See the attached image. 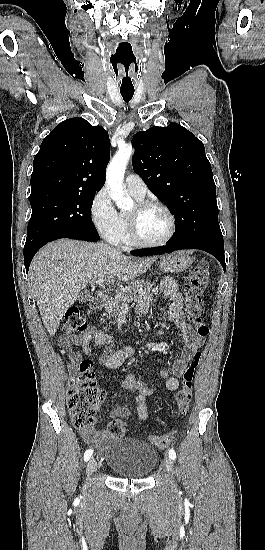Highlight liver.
Segmentation results:
<instances>
[{"label":"liver","instance_id":"obj_1","mask_svg":"<svg viewBox=\"0 0 265 550\" xmlns=\"http://www.w3.org/2000/svg\"><path fill=\"white\" fill-rule=\"evenodd\" d=\"M153 262V258L133 260L104 243L60 239L44 246L30 265L29 277L50 336L88 284L103 278L113 285L116 277L127 283Z\"/></svg>","mask_w":265,"mask_h":550}]
</instances>
